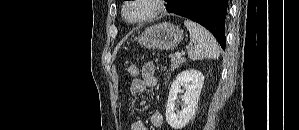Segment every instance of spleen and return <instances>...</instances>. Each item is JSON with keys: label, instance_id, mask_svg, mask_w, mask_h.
Wrapping results in <instances>:
<instances>
[{"label": "spleen", "instance_id": "3e777b00", "mask_svg": "<svg viewBox=\"0 0 299 130\" xmlns=\"http://www.w3.org/2000/svg\"><path fill=\"white\" fill-rule=\"evenodd\" d=\"M184 25L190 33L191 46L188 56L191 60L217 59L220 54L219 45L214 36L200 24L185 20Z\"/></svg>", "mask_w": 299, "mask_h": 130}]
</instances>
